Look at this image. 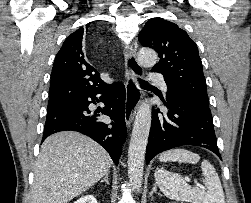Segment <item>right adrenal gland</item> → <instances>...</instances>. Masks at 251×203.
<instances>
[{
	"instance_id": "obj_1",
	"label": "right adrenal gland",
	"mask_w": 251,
	"mask_h": 203,
	"mask_svg": "<svg viewBox=\"0 0 251 203\" xmlns=\"http://www.w3.org/2000/svg\"><path fill=\"white\" fill-rule=\"evenodd\" d=\"M108 177H109V174L107 173L105 175V177L103 178V180H101V182H106L107 184H110L109 181H108Z\"/></svg>"
}]
</instances>
